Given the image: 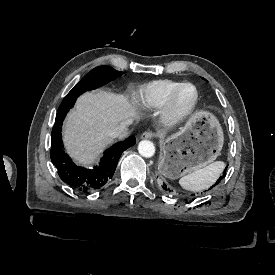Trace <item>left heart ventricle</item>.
<instances>
[{"mask_svg": "<svg viewBox=\"0 0 275 275\" xmlns=\"http://www.w3.org/2000/svg\"><path fill=\"white\" fill-rule=\"evenodd\" d=\"M193 96L191 88H184L179 95V103L184 105L190 101Z\"/></svg>", "mask_w": 275, "mask_h": 275, "instance_id": "obj_1", "label": "left heart ventricle"}]
</instances>
